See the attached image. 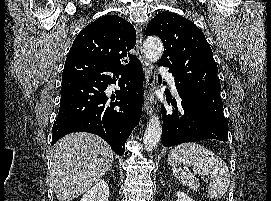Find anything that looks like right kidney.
<instances>
[{
	"mask_svg": "<svg viewBox=\"0 0 271 201\" xmlns=\"http://www.w3.org/2000/svg\"><path fill=\"white\" fill-rule=\"evenodd\" d=\"M109 186L105 181H100L88 190L80 201H108Z\"/></svg>",
	"mask_w": 271,
	"mask_h": 201,
	"instance_id": "ca27d5eb",
	"label": "right kidney"
}]
</instances>
